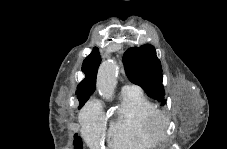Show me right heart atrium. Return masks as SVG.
<instances>
[{"label": "right heart atrium", "instance_id": "d8ad5b80", "mask_svg": "<svg viewBox=\"0 0 227 149\" xmlns=\"http://www.w3.org/2000/svg\"><path fill=\"white\" fill-rule=\"evenodd\" d=\"M80 122L87 144L90 146L100 145L104 136L105 117L97 100H91L85 106Z\"/></svg>", "mask_w": 227, "mask_h": 149}]
</instances>
